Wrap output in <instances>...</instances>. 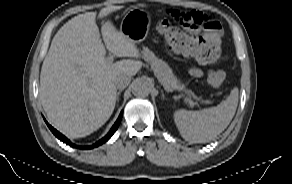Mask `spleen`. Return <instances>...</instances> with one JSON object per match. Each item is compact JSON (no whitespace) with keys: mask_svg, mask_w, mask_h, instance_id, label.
<instances>
[{"mask_svg":"<svg viewBox=\"0 0 292 184\" xmlns=\"http://www.w3.org/2000/svg\"><path fill=\"white\" fill-rule=\"evenodd\" d=\"M238 88L216 107L200 111L179 109L174 122L183 139L190 143H206L224 131L235 115L238 105Z\"/></svg>","mask_w":292,"mask_h":184,"instance_id":"3e777b00","label":"spleen"}]
</instances>
